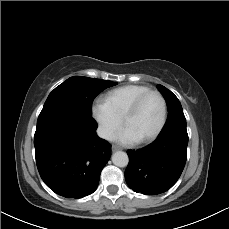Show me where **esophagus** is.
<instances>
[{
	"instance_id": "obj_1",
	"label": "esophagus",
	"mask_w": 229,
	"mask_h": 229,
	"mask_svg": "<svg viewBox=\"0 0 229 229\" xmlns=\"http://www.w3.org/2000/svg\"><path fill=\"white\" fill-rule=\"evenodd\" d=\"M120 149H121V148L118 147V146H116V145H113V146H112V151H113V152L118 151V150H120Z\"/></svg>"
}]
</instances>
